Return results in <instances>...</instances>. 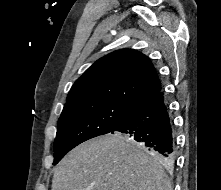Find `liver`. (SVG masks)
<instances>
[{
  "label": "liver",
  "mask_w": 221,
  "mask_h": 190,
  "mask_svg": "<svg viewBox=\"0 0 221 190\" xmlns=\"http://www.w3.org/2000/svg\"><path fill=\"white\" fill-rule=\"evenodd\" d=\"M116 132L84 142L55 167L51 190H172L157 159Z\"/></svg>",
  "instance_id": "liver-1"
}]
</instances>
